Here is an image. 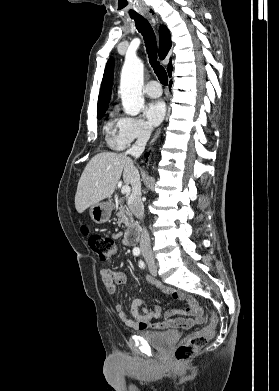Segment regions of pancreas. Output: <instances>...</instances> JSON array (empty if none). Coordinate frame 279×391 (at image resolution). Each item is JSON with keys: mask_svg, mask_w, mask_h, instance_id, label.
Segmentation results:
<instances>
[{"mask_svg": "<svg viewBox=\"0 0 279 391\" xmlns=\"http://www.w3.org/2000/svg\"><path fill=\"white\" fill-rule=\"evenodd\" d=\"M121 203L120 200L117 201L116 203V209L119 210L117 212V217H118V224L120 225L123 223L126 227H129L132 222V217L129 213V211L122 205L118 208V205Z\"/></svg>", "mask_w": 279, "mask_h": 391, "instance_id": "pancreas-1", "label": "pancreas"}]
</instances>
